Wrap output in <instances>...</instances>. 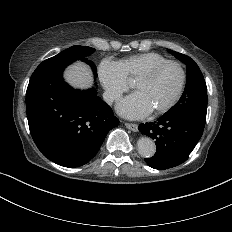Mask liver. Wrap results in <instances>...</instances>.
Instances as JSON below:
<instances>
[{"mask_svg":"<svg viewBox=\"0 0 232 232\" xmlns=\"http://www.w3.org/2000/svg\"><path fill=\"white\" fill-rule=\"evenodd\" d=\"M64 78L70 85L79 88H88L93 81L91 70L81 62L68 67L64 73Z\"/></svg>","mask_w":232,"mask_h":232,"instance_id":"1","label":"liver"}]
</instances>
